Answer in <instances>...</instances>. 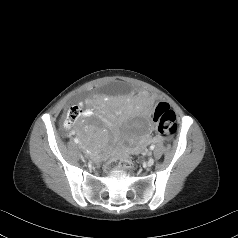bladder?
Returning <instances> with one entry per match:
<instances>
[{
  "mask_svg": "<svg viewBox=\"0 0 238 238\" xmlns=\"http://www.w3.org/2000/svg\"><path fill=\"white\" fill-rule=\"evenodd\" d=\"M129 90V85L126 82H119L118 84H105L101 91L105 95H117L118 93L124 95Z\"/></svg>",
  "mask_w": 238,
  "mask_h": 238,
  "instance_id": "1",
  "label": "bladder"
}]
</instances>
